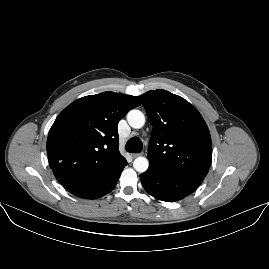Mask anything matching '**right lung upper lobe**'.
<instances>
[{
  "label": "right lung upper lobe",
  "instance_id": "right-lung-upper-lobe-1",
  "mask_svg": "<svg viewBox=\"0 0 269 269\" xmlns=\"http://www.w3.org/2000/svg\"><path fill=\"white\" fill-rule=\"evenodd\" d=\"M139 105L134 96L103 92L67 106L47 139L49 163L56 179L62 183L100 175L121 160L117 125Z\"/></svg>",
  "mask_w": 269,
  "mask_h": 269
}]
</instances>
